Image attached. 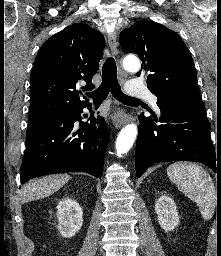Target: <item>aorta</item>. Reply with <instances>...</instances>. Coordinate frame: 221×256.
<instances>
[{
    "label": "aorta",
    "instance_id": "1",
    "mask_svg": "<svg viewBox=\"0 0 221 256\" xmlns=\"http://www.w3.org/2000/svg\"><path fill=\"white\" fill-rule=\"evenodd\" d=\"M123 65L125 69L132 72H136L140 68V62L137 58L126 59ZM137 132L135 124H128L120 131L116 139V151L119 157L130 150L137 137Z\"/></svg>",
    "mask_w": 221,
    "mask_h": 256
}]
</instances>
